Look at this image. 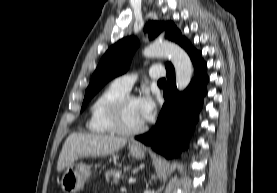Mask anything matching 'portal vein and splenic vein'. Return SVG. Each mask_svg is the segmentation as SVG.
I'll return each instance as SVG.
<instances>
[{
  "label": "portal vein and splenic vein",
  "instance_id": "portal-vein-and-splenic-vein-1",
  "mask_svg": "<svg viewBox=\"0 0 277 193\" xmlns=\"http://www.w3.org/2000/svg\"><path fill=\"white\" fill-rule=\"evenodd\" d=\"M135 182H136V178L131 177V178L128 179L129 184H133Z\"/></svg>",
  "mask_w": 277,
  "mask_h": 193
}]
</instances>
